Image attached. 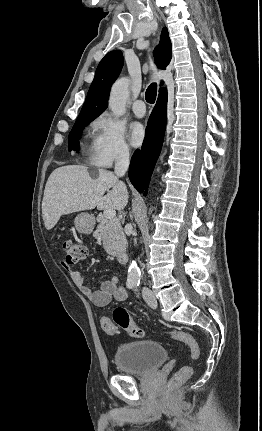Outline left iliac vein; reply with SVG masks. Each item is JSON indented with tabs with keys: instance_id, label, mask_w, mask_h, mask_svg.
<instances>
[{
	"instance_id": "1",
	"label": "left iliac vein",
	"mask_w": 262,
	"mask_h": 431,
	"mask_svg": "<svg viewBox=\"0 0 262 431\" xmlns=\"http://www.w3.org/2000/svg\"><path fill=\"white\" fill-rule=\"evenodd\" d=\"M145 302L153 309L157 308V300L155 295L151 292L144 295Z\"/></svg>"
}]
</instances>
